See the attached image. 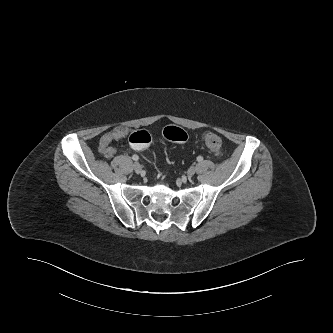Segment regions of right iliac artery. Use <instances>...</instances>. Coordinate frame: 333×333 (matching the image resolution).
<instances>
[{
	"mask_svg": "<svg viewBox=\"0 0 333 333\" xmlns=\"http://www.w3.org/2000/svg\"><path fill=\"white\" fill-rule=\"evenodd\" d=\"M132 159H133L134 161H138V160H139V157H138L137 155H133V156H132Z\"/></svg>",
	"mask_w": 333,
	"mask_h": 333,
	"instance_id": "82829eb1",
	"label": "right iliac artery"
}]
</instances>
